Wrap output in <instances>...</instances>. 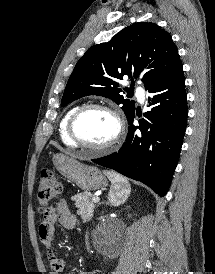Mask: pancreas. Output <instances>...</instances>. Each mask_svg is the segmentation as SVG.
Segmentation results:
<instances>
[{"instance_id": "pancreas-1", "label": "pancreas", "mask_w": 215, "mask_h": 274, "mask_svg": "<svg viewBox=\"0 0 215 274\" xmlns=\"http://www.w3.org/2000/svg\"><path fill=\"white\" fill-rule=\"evenodd\" d=\"M92 194L89 192L79 193L71 199L75 201L76 207H78V213L85 221L91 220L95 209V204L92 201Z\"/></svg>"}]
</instances>
